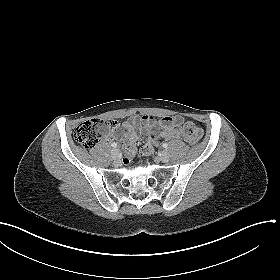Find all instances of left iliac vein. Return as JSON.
Segmentation results:
<instances>
[{"label": "left iliac vein", "mask_w": 280, "mask_h": 280, "mask_svg": "<svg viewBox=\"0 0 280 280\" xmlns=\"http://www.w3.org/2000/svg\"><path fill=\"white\" fill-rule=\"evenodd\" d=\"M159 159L162 162H168L169 161V153L166 150L162 151L160 156H159Z\"/></svg>", "instance_id": "obj_1"}]
</instances>
